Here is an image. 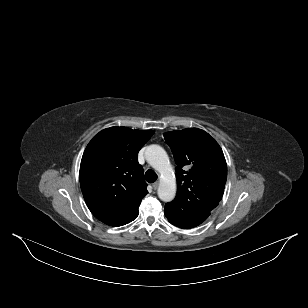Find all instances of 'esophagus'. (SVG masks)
Here are the masks:
<instances>
[{
  "instance_id": "1",
  "label": "esophagus",
  "mask_w": 308,
  "mask_h": 308,
  "mask_svg": "<svg viewBox=\"0 0 308 308\" xmlns=\"http://www.w3.org/2000/svg\"><path fill=\"white\" fill-rule=\"evenodd\" d=\"M158 185H159V183H158V182L153 183V184H152L153 189H155V190H156V189L158 188Z\"/></svg>"
}]
</instances>
